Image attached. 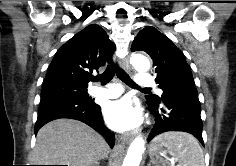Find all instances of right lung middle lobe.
<instances>
[{"instance_id": "right-lung-middle-lobe-1", "label": "right lung middle lobe", "mask_w": 236, "mask_h": 166, "mask_svg": "<svg viewBox=\"0 0 236 166\" xmlns=\"http://www.w3.org/2000/svg\"><path fill=\"white\" fill-rule=\"evenodd\" d=\"M64 97H72L84 103L91 100L87 93V87L72 86ZM42 98H47V96L42 94Z\"/></svg>"}]
</instances>
